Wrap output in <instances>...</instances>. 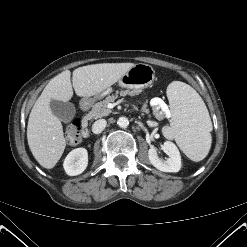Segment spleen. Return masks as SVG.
<instances>
[{
  "label": "spleen",
  "mask_w": 247,
  "mask_h": 247,
  "mask_svg": "<svg viewBox=\"0 0 247 247\" xmlns=\"http://www.w3.org/2000/svg\"><path fill=\"white\" fill-rule=\"evenodd\" d=\"M172 119L163 129L193 161L203 160L211 148L212 122L201 96L188 84L173 81L167 88Z\"/></svg>",
  "instance_id": "1"
}]
</instances>
